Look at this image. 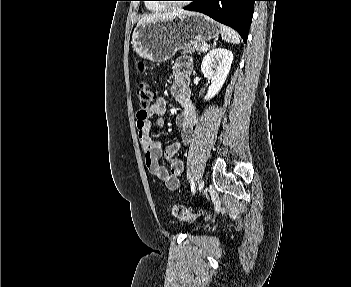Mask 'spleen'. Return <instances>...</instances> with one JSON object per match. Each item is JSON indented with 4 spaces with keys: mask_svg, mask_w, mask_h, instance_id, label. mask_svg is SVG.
Segmentation results:
<instances>
[{
    "mask_svg": "<svg viewBox=\"0 0 351 287\" xmlns=\"http://www.w3.org/2000/svg\"><path fill=\"white\" fill-rule=\"evenodd\" d=\"M221 37L224 41L233 44L240 43V36L239 34L232 28L221 25Z\"/></svg>",
    "mask_w": 351,
    "mask_h": 287,
    "instance_id": "spleen-1",
    "label": "spleen"
}]
</instances>
